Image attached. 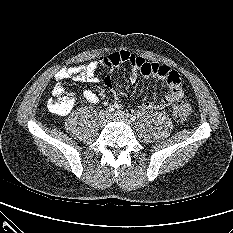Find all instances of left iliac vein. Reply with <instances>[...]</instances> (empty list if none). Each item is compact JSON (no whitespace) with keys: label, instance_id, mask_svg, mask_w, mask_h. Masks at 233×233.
Returning a JSON list of instances; mask_svg holds the SVG:
<instances>
[{"label":"left iliac vein","instance_id":"4c4485c4","mask_svg":"<svg viewBox=\"0 0 233 233\" xmlns=\"http://www.w3.org/2000/svg\"><path fill=\"white\" fill-rule=\"evenodd\" d=\"M111 118H113V120L115 121H120V122H124L128 125H131V119L130 116L125 113L124 111H116L112 114Z\"/></svg>","mask_w":233,"mask_h":233}]
</instances>
